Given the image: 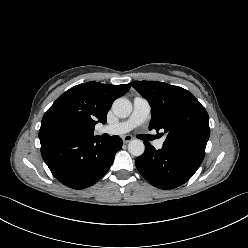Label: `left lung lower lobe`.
<instances>
[{"mask_svg": "<svg viewBox=\"0 0 248 248\" xmlns=\"http://www.w3.org/2000/svg\"><path fill=\"white\" fill-rule=\"evenodd\" d=\"M144 144L145 152L136 158V167L153 186L165 190L187 182L205 156V153L195 150L167 146L156 150L150 143Z\"/></svg>", "mask_w": 248, "mask_h": 248, "instance_id": "1", "label": "left lung lower lobe"}]
</instances>
